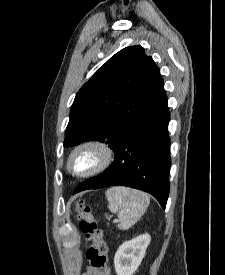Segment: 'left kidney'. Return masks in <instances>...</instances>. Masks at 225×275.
<instances>
[{"label": "left kidney", "mask_w": 225, "mask_h": 275, "mask_svg": "<svg viewBox=\"0 0 225 275\" xmlns=\"http://www.w3.org/2000/svg\"><path fill=\"white\" fill-rule=\"evenodd\" d=\"M150 241V235L143 234L124 242L118 248L114 257L117 275H133L141 264Z\"/></svg>", "instance_id": "1"}]
</instances>
